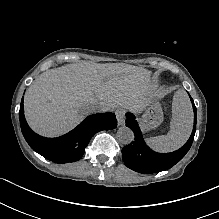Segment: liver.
<instances>
[{
  "label": "liver",
  "mask_w": 219,
  "mask_h": 219,
  "mask_svg": "<svg viewBox=\"0 0 219 219\" xmlns=\"http://www.w3.org/2000/svg\"><path fill=\"white\" fill-rule=\"evenodd\" d=\"M151 74L124 63H70L46 70L24 94L26 122L34 133L58 138L92 114L93 103L106 105L109 111H142L153 94Z\"/></svg>",
  "instance_id": "1"
}]
</instances>
